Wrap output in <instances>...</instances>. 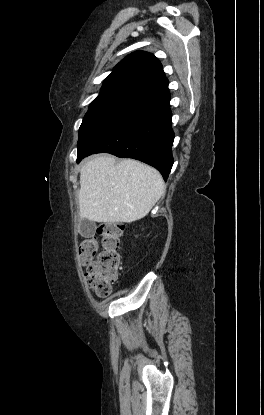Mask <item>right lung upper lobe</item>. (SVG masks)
Wrapping results in <instances>:
<instances>
[{
  "label": "right lung upper lobe",
  "mask_w": 264,
  "mask_h": 415,
  "mask_svg": "<svg viewBox=\"0 0 264 415\" xmlns=\"http://www.w3.org/2000/svg\"><path fill=\"white\" fill-rule=\"evenodd\" d=\"M166 91L168 80L161 63L151 53L136 51L106 77L100 95L122 94L146 100Z\"/></svg>",
  "instance_id": "obj_1"
}]
</instances>
